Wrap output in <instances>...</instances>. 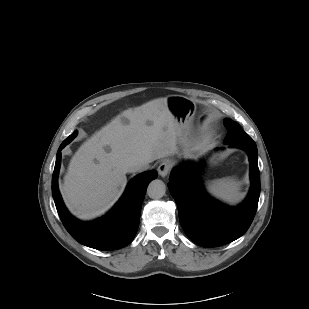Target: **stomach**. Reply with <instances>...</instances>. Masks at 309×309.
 I'll list each match as a JSON object with an SVG mask.
<instances>
[{"instance_id":"0dacf381","label":"stomach","mask_w":309,"mask_h":309,"mask_svg":"<svg viewBox=\"0 0 309 309\" xmlns=\"http://www.w3.org/2000/svg\"><path fill=\"white\" fill-rule=\"evenodd\" d=\"M166 100L168 109L174 117L183 153L186 157H191V130L197 109L196 104L182 95H172Z\"/></svg>"}]
</instances>
